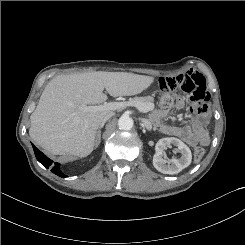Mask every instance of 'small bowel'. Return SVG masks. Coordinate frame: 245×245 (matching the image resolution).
Here are the masks:
<instances>
[{"mask_svg": "<svg viewBox=\"0 0 245 245\" xmlns=\"http://www.w3.org/2000/svg\"><path fill=\"white\" fill-rule=\"evenodd\" d=\"M157 86L163 91L178 93L181 91L189 93L193 101L190 107L191 118L189 125L172 126L163 122L165 116L164 110H159L153 115V120L159 125L160 130L167 135L176 136L190 146L207 145L210 141L206 126L209 122L208 93L206 90V81L202 74L189 71L176 78L161 77L157 81ZM178 108L185 106L184 99L177 98Z\"/></svg>", "mask_w": 245, "mask_h": 245, "instance_id": "1", "label": "small bowel"}]
</instances>
